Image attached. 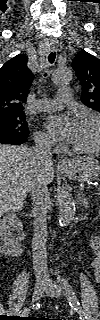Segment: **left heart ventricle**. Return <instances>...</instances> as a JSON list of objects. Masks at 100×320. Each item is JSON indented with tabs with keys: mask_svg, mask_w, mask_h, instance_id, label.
Segmentation results:
<instances>
[{
	"mask_svg": "<svg viewBox=\"0 0 100 320\" xmlns=\"http://www.w3.org/2000/svg\"><path fill=\"white\" fill-rule=\"evenodd\" d=\"M97 126L93 122L78 123L77 131L72 146L79 148H91L96 144Z\"/></svg>",
	"mask_w": 100,
	"mask_h": 320,
	"instance_id": "1",
	"label": "left heart ventricle"
}]
</instances>
